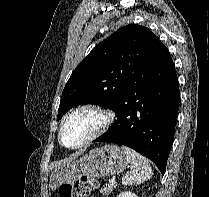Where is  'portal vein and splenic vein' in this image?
<instances>
[{"label": "portal vein and splenic vein", "instance_id": "portal-vein-and-splenic-vein-1", "mask_svg": "<svg viewBox=\"0 0 209 197\" xmlns=\"http://www.w3.org/2000/svg\"><path fill=\"white\" fill-rule=\"evenodd\" d=\"M115 182H116L115 178H112V179L109 180V183H111V184H114Z\"/></svg>", "mask_w": 209, "mask_h": 197}]
</instances>
